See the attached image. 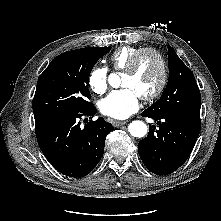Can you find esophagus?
Listing matches in <instances>:
<instances>
[{"label": "esophagus", "instance_id": "esophagus-1", "mask_svg": "<svg viewBox=\"0 0 221 221\" xmlns=\"http://www.w3.org/2000/svg\"><path fill=\"white\" fill-rule=\"evenodd\" d=\"M128 121H117V120H115V121H113V126L114 127H119V126H122V125H124V124H126Z\"/></svg>", "mask_w": 221, "mask_h": 221}]
</instances>
